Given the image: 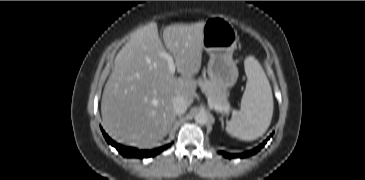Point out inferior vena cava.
Listing matches in <instances>:
<instances>
[{
    "label": "inferior vena cava",
    "mask_w": 365,
    "mask_h": 180,
    "mask_svg": "<svg viewBox=\"0 0 365 180\" xmlns=\"http://www.w3.org/2000/svg\"><path fill=\"white\" fill-rule=\"evenodd\" d=\"M187 107H188L187 103L181 96H176L173 99V109L176 114L181 115L185 113Z\"/></svg>",
    "instance_id": "inferior-vena-cava-1"
}]
</instances>
